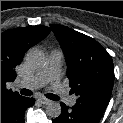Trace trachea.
<instances>
[{
  "instance_id": "obj_1",
  "label": "trachea",
  "mask_w": 123,
  "mask_h": 123,
  "mask_svg": "<svg viewBox=\"0 0 123 123\" xmlns=\"http://www.w3.org/2000/svg\"><path fill=\"white\" fill-rule=\"evenodd\" d=\"M20 93L22 95H25V96H31L32 95V91L28 90V89H25V88L21 89ZM46 97L48 99L55 100V101L59 100V97L57 95H55V94H52V93L46 94Z\"/></svg>"
}]
</instances>
